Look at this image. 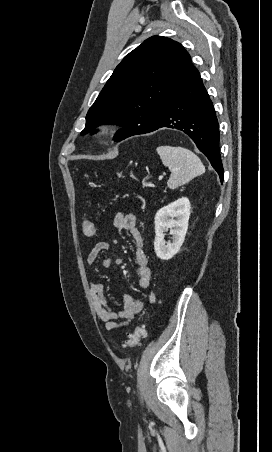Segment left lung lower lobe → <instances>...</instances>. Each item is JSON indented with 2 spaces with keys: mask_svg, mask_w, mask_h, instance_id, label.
<instances>
[{
  "mask_svg": "<svg viewBox=\"0 0 272 452\" xmlns=\"http://www.w3.org/2000/svg\"><path fill=\"white\" fill-rule=\"evenodd\" d=\"M162 127L181 130L192 138L197 148L209 159L223 182L224 172L219 152L218 121L212 101L194 66L166 100L158 121L151 127L123 136L121 140L133 135L149 133Z\"/></svg>",
  "mask_w": 272,
  "mask_h": 452,
  "instance_id": "left-lung-lower-lobe-1",
  "label": "left lung lower lobe"
}]
</instances>
